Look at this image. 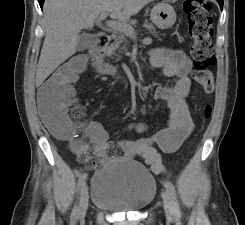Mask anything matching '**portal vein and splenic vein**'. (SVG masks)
I'll return each instance as SVG.
<instances>
[{
	"mask_svg": "<svg viewBox=\"0 0 245 225\" xmlns=\"http://www.w3.org/2000/svg\"><path fill=\"white\" fill-rule=\"evenodd\" d=\"M108 16V13H102L99 15V20H105ZM107 26L116 30V31H119V32H122L124 33L126 36L132 38V39H135L136 38V32H135V29L127 24V23H123L121 21H115V20H109L106 22ZM144 43H151L152 42V39L151 38H145L143 40Z\"/></svg>",
	"mask_w": 245,
	"mask_h": 225,
	"instance_id": "18ae733b",
	"label": "portal vein and splenic vein"
}]
</instances>
